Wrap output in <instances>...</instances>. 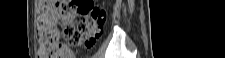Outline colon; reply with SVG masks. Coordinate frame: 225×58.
Instances as JSON below:
<instances>
[{
	"label": "colon",
	"mask_w": 225,
	"mask_h": 58,
	"mask_svg": "<svg viewBox=\"0 0 225 58\" xmlns=\"http://www.w3.org/2000/svg\"><path fill=\"white\" fill-rule=\"evenodd\" d=\"M70 4L82 15L78 25L71 18ZM106 11L94 0H38L36 38L39 58H64L67 46L89 48L100 37Z\"/></svg>",
	"instance_id": "1"
}]
</instances>
